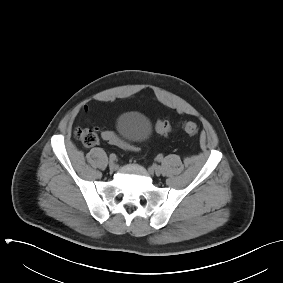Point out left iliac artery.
Segmentation results:
<instances>
[{
	"instance_id": "44dca946",
	"label": "left iliac artery",
	"mask_w": 283,
	"mask_h": 283,
	"mask_svg": "<svg viewBox=\"0 0 283 283\" xmlns=\"http://www.w3.org/2000/svg\"><path fill=\"white\" fill-rule=\"evenodd\" d=\"M157 160H158L159 162H161V161L163 160V156H162L161 154H159V155L157 156Z\"/></svg>"
}]
</instances>
